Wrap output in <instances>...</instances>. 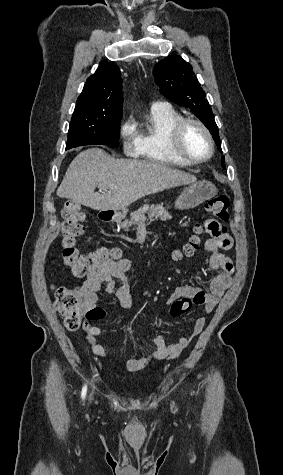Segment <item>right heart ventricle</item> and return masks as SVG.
Returning <instances> with one entry per match:
<instances>
[{"mask_svg": "<svg viewBox=\"0 0 283 475\" xmlns=\"http://www.w3.org/2000/svg\"><path fill=\"white\" fill-rule=\"evenodd\" d=\"M183 118L171 105L151 106L147 118L135 126V134L140 142L139 157L146 161L165 162L159 146L168 142V130Z\"/></svg>", "mask_w": 283, "mask_h": 475, "instance_id": "1", "label": "right heart ventricle"}]
</instances>
